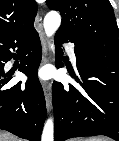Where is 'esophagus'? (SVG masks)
I'll use <instances>...</instances> for the list:
<instances>
[{"label": "esophagus", "mask_w": 119, "mask_h": 141, "mask_svg": "<svg viewBox=\"0 0 119 141\" xmlns=\"http://www.w3.org/2000/svg\"><path fill=\"white\" fill-rule=\"evenodd\" d=\"M39 37L42 45V61L41 64L44 65L46 64L50 59H51V49L50 46L47 42V39L45 37V34L43 32V29H39ZM43 90H44V95H45V100H46V107L47 110H51L52 106V99H51V83L50 82H44L43 83Z\"/></svg>", "instance_id": "1"}]
</instances>
